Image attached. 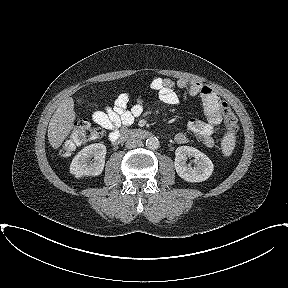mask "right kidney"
<instances>
[{
    "mask_svg": "<svg viewBox=\"0 0 288 288\" xmlns=\"http://www.w3.org/2000/svg\"><path fill=\"white\" fill-rule=\"evenodd\" d=\"M105 156V145L101 143L91 144L82 149L73 158L70 165V173L75 175L76 178L83 176H98L104 169Z\"/></svg>",
    "mask_w": 288,
    "mask_h": 288,
    "instance_id": "1",
    "label": "right kidney"
}]
</instances>
